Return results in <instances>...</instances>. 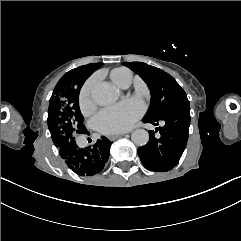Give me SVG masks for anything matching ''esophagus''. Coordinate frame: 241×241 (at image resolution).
Returning a JSON list of instances; mask_svg holds the SVG:
<instances>
[{"mask_svg": "<svg viewBox=\"0 0 241 241\" xmlns=\"http://www.w3.org/2000/svg\"><path fill=\"white\" fill-rule=\"evenodd\" d=\"M124 135H125L124 133L112 134V135H109V136H108V139H109L110 141H114V140H116V139H118V138H120V137H123Z\"/></svg>", "mask_w": 241, "mask_h": 241, "instance_id": "34e87169", "label": "esophagus"}]
</instances>
